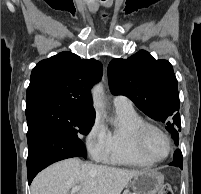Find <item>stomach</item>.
<instances>
[{"label":"stomach","instance_id":"0dacf381","mask_svg":"<svg viewBox=\"0 0 201 194\" xmlns=\"http://www.w3.org/2000/svg\"><path fill=\"white\" fill-rule=\"evenodd\" d=\"M164 177L154 170H143L133 177L131 189L133 194H157L162 188Z\"/></svg>","mask_w":201,"mask_h":194}]
</instances>
